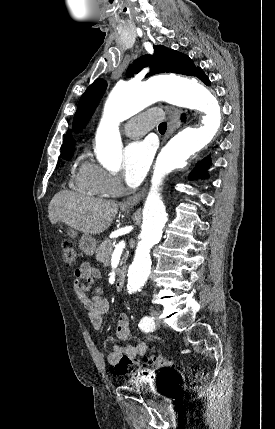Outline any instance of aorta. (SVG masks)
Segmentation results:
<instances>
[{
  "label": "aorta",
  "instance_id": "aorta-1",
  "mask_svg": "<svg viewBox=\"0 0 275 429\" xmlns=\"http://www.w3.org/2000/svg\"><path fill=\"white\" fill-rule=\"evenodd\" d=\"M159 100L198 110L204 116L200 127L185 128L172 137L158 157L144 205L140 240L128 270L129 293L139 290L146 283L151 272L150 249L160 241L167 222L159 193L163 177L176 168L184 167L191 155L204 148L218 131L222 120L216 94L195 79L159 77L147 82L118 84L105 103L96 133V155L107 169L117 171L121 164L119 123Z\"/></svg>",
  "mask_w": 275,
  "mask_h": 429
}]
</instances>
